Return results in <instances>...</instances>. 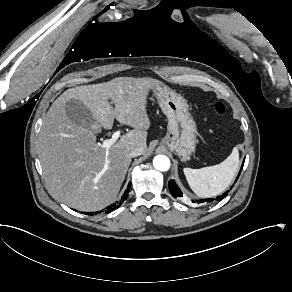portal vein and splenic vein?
Returning <instances> with one entry per match:
<instances>
[{
    "instance_id": "portal-vein-and-splenic-vein-1",
    "label": "portal vein and splenic vein",
    "mask_w": 292,
    "mask_h": 292,
    "mask_svg": "<svg viewBox=\"0 0 292 292\" xmlns=\"http://www.w3.org/2000/svg\"><path fill=\"white\" fill-rule=\"evenodd\" d=\"M120 134L121 129L116 130L112 135V139L101 140V145L107 148L111 147L112 144H114L115 140L120 136Z\"/></svg>"
}]
</instances>
